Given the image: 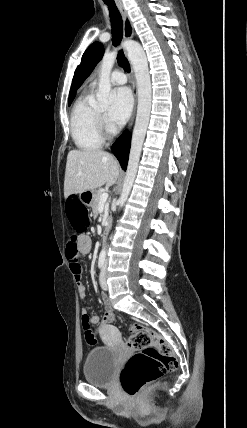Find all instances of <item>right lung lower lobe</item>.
<instances>
[{"label": "right lung lower lobe", "instance_id": "right-lung-lower-lobe-1", "mask_svg": "<svg viewBox=\"0 0 247 428\" xmlns=\"http://www.w3.org/2000/svg\"><path fill=\"white\" fill-rule=\"evenodd\" d=\"M129 149L130 136L128 132L125 131L112 146V152L117 157L124 170H126L128 163Z\"/></svg>", "mask_w": 247, "mask_h": 428}]
</instances>
